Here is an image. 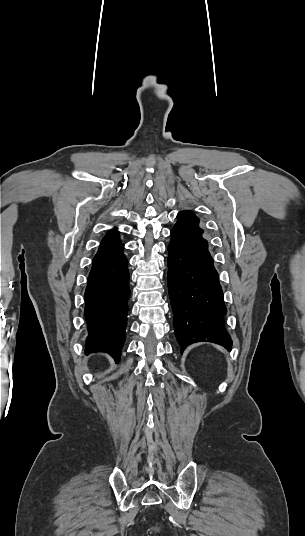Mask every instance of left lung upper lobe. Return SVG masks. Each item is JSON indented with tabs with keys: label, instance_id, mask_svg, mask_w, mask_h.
Masks as SVG:
<instances>
[{
	"label": "left lung upper lobe",
	"instance_id": "5c2ea615",
	"mask_svg": "<svg viewBox=\"0 0 305 536\" xmlns=\"http://www.w3.org/2000/svg\"><path fill=\"white\" fill-rule=\"evenodd\" d=\"M178 221L173 228L193 234L202 238V229L199 228V219L190 211H182L177 215Z\"/></svg>",
	"mask_w": 305,
	"mask_h": 536
}]
</instances>
